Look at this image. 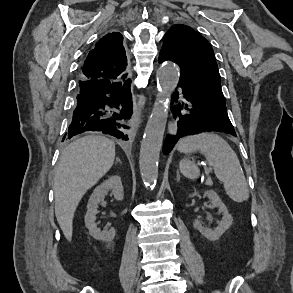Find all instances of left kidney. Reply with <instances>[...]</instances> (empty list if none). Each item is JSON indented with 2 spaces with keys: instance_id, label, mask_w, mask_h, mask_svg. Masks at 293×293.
<instances>
[{
  "instance_id": "obj_1",
  "label": "left kidney",
  "mask_w": 293,
  "mask_h": 293,
  "mask_svg": "<svg viewBox=\"0 0 293 293\" xmlns=\"http://www.w3.org/2000/svg\"><path fill=\"white\" fill-rule=\"evenodd\" d=\"M196 195L197 192H194L193 194L189 195V197H194ZM205 195L210 199L212 206L217 207L219 212L222 213V219L219 221L218 227H216L214 230H211L208 227H204L199 219H195L193 225L205 238L211 241H216L232 225L233 218L215 191L207 190Z\"/></svg>"
}]
</instances>
